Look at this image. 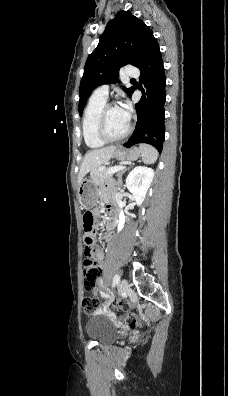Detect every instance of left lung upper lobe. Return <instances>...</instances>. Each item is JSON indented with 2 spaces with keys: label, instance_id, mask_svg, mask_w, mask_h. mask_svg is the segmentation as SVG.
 Segmentation results:
<instances>
[{
  "label": "left lung upper lobe",
  "instance_id": "1",
  "mask_svg": "<svg viewBox=\"0 0 228 396\" xmlns=\"http://www.w3.org/2000/svg\"><path fill=\"white\" fill-rule=\"evenodd\" d=\"M154 40L153 32L142 20L130 11L118 12L87 58L80 83L79 114L93 89L117 81L120 67L131 64L140 68ZM123 89L128 95L133 91V88Z\"/></svg>",
  "mask_w": 228,
  "mask_h": 396
}]
</instances>
